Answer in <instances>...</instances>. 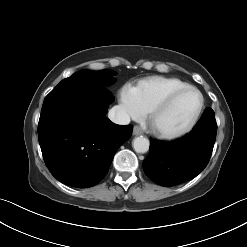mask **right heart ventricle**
Returning <instances> with one entry per match:
<instances>
[{"label": "right heart ventricle", "instance_id": "right-heart-ventricle-1", "mask_svg": "<svg viewBox=\"0 0 247 247\" xmlns=\"http://www.w3.org/2000/svg\"><path fill=\"white\" fill-rule=\"evenodd\" d=\"M186 87L189 85L179 79L154 76L141 80L135 90L146 113L170 93Z\"/></svg>", "mask_w": 247, "mask_h": 247}]
</instances>
